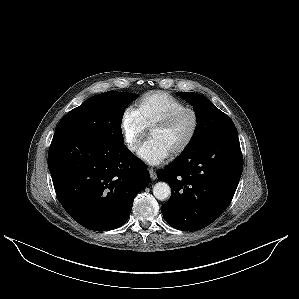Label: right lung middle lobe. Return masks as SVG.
Returning <instances> with one entry per match:
<instances>
[{"mask_svg":"<svg viewBox=\"0 0 299 299\" xmlns=\"http://www.w3.org/2000/svg\"><path fill=\"white\" fill-rule=\"evenodd\" d=\"M138 95L108 91L90 97L68 112L56 127L55 133H68L90 139L124 144L121 122L126 107Z\"/></svg>","mask_w":299,"mask_h":299,"instance_id":"1","label":"right lung middle lobe"}]
</instances>
